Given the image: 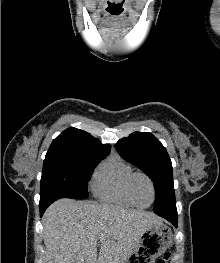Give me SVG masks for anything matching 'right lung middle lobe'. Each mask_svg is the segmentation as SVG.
I'll return each mask as SVG.
<instances>
[{
    "instance_id": "dd1d6c3e",
    "label": "right lung middle lobe",
    "mask_w": 220,
    "mask_h": 263,
    "mask_svg": "<svg viewBox=\"0 0 220 263\" xmlns=\"http://www.w3.org/2000/svg\"><path fill=\"white\" fill-rule=\"evenodd\" d=\"M106 156L82 151H48L40 182V203L59 198H87L88 180Z\"/></svg>"
}]
</instances>
